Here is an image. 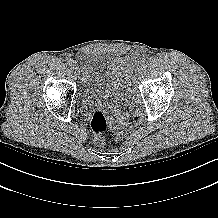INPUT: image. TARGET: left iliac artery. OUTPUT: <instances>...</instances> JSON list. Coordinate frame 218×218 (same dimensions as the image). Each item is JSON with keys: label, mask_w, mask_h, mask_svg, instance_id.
Listing matches in <instances>:
<instances>
[{"label": "left iliac artery", "mask_w": 218, "mask_h": 218, "mask_svg": "<svg viewBox=\"0 0 218 218\" xmlns=\"http://www.w3.org/2000/svg\"><path fill=\"white\" fill-rule=\"evenodd\" d=\"M145 62H146V58H142V59L140 60V64H141V65H144Z\"/></svg>", "instance_id": "44dca946"}]
</instances>
